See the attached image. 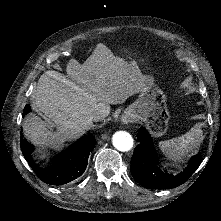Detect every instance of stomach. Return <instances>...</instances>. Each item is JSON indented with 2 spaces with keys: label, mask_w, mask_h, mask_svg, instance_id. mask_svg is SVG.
<instances>
[{
  "label": "stomach",
  "mask_w": 221,
  "mask_h": 221,
  "mask_svg": "<svg viewBox=\"0 0 221 221\" xmlns=\"http://www.w3.org/2000/svg\"><path fill=\"white\" fill-rule=\"evenodd\" d=\"M165 99L160 89L150 88L149 83H145L138 99L126 111V120L143 121L154 137L164 135L170 118Z\"/></svg>",
  "instance_id": "1"
}]
</instances>
